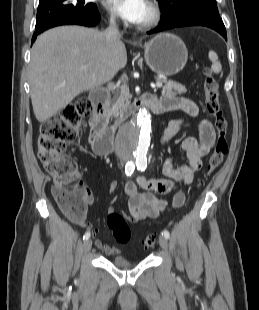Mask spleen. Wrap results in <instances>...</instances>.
Instances as JSON below:
<instances>
[{
	"label": "spleen",
	"instance_id": "3e777b00",
	"mask_svg": "<svg viewBox=\"0 0 259 310\" xmlns=\"http://www.w3.org/2000/svg\"><path fill=\"white\" fill-rule=\"evenodd\" d=\"M208 57L212 62L211 69L214 73H219L222 69L221 63L218 61V55L214 51H209Z\"/></svg>",
	"mask_w": 259,
	"mask_h": 310
}]
</instances>
